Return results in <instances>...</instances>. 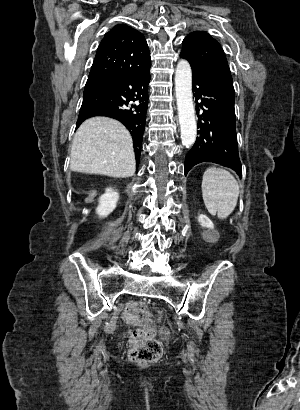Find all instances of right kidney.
<instances>
[{"mask_svg":"<svg viewBox=\"0 0 300 410\" xmlns=\"http://www.w3.org/2000/svg\"><path fill=\"white\" fill-rule=\"evenodd\" d=\"M118 199L119 194L113 188H107L105 194L100 196L99 205L96 208L99 217L108 216L115 209Z\"/></svg>","mask_w":300,"mask_h":410,"instance_id":"ca27d5eb","label":"right kidney"}]
</instances>
